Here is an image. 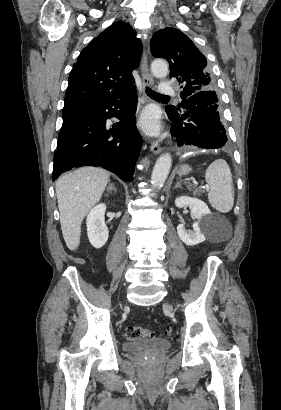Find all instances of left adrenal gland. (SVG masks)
Instances as JSON below:
<instances>
[{
  "label": "left adrenal gland",
  "instance_id": "1",
  "mask_svg": "<svg viewBox=\"0 0 281 410\" xmlns=\"http://www.w3.org/2000/svg\"><path fill=\"white\" fill-rule=\"evenodd\" d=\"M174 188H175V189H176V188H182L181 183H180V182H177V183L175 184Z\"/></svg>",
  "mask_w": 281,
  "mask_h": 410
}]
</instances>
